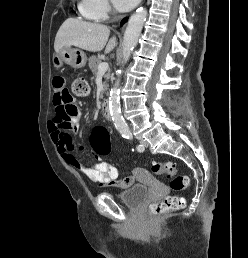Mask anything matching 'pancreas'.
<instances>
[{
	"label": "pancreas",
	"mask_w": 248,
	"mask_h": 258,
	"mask_svg": "<svg viewBox=\"0 0 248 258\" xmlns=\"http://www.w3.org/2000/svg\"><path fill=\"white\" fill-rule=\"evenodd\" d=\"M101 63L100 58H97L96 56H91L89 58V67L92 70L93 74L96 75L98 73V65ZM104 78L107 80H109L110 78V73H106L104 74ZM108 85L105 82L104 83V91L107 89Z\"/></svg>",
	"instance_id": "cf45deb5"
}]
</instances>
